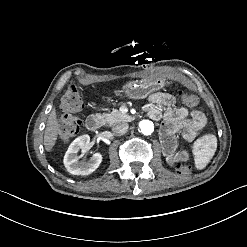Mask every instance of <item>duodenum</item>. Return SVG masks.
I'll list each match as a JSON object with an SVG mask.
<instances>
[{"label":"duodenum","instance_id":"410a0bca","mask_svg":"<svg viewBox=\"0 0 247 247\" xmlns=\"http://www.w3.org/2000/svg\"><path fill=\"white\" fill-rule=\"evenodd\" d=\"M102 124L103 118L100 115H92L86 120V127L92 131L100 129Z\"/></svg>","mask_w":247,"mask_h":247}]
</instances>
